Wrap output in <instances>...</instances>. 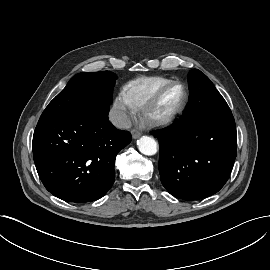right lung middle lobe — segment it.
<instances>
[{
  "instance_id": "right-lung-middle-lobe-1",
  "label": "right lung middle lobe",
  "mask_w": 270,
  "mask_h": 270,
  "mask_svg": "<svg viewBox=\"0 0 270 270\" xmlns=\"http://www.w3.org/2000/svg\"><path fill=\"white\" fill-rule=\"evenodd\" d=\"M116 79L110 71L79 73L48 104L41 116L81 114L109 106Z\"/></svg>"
}]
</instances>
